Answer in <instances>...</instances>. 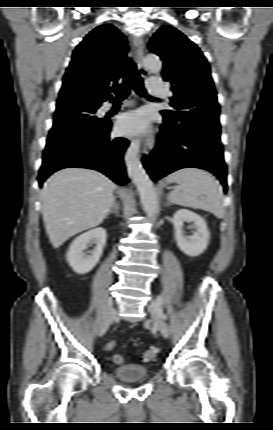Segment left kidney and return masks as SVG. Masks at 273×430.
<instances>
[{"label": "left kidney", "instance_id": "left-kidney-1", "mask_svg": "<svg viewBox=\"0 0 273 430\" xmlns=\"http://www.w3.org/2000/svg\"><path fill=\"white\" fill-rule=\"evenodd\" d=\"M184 222H192L190 228L195 229L191 236H184ZM174 235L179 249L188 256L202 254L208 246L210 232L205 219L196 212L181 209L173 216Z\"/></svg>", "mask_w": 273, "mask_h": 430}]
</instances>
